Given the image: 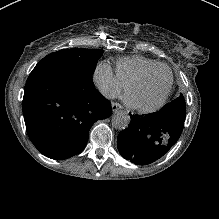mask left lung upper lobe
<instances>
[{"label":"left lung upper lobe","instance_id":"5c2ea615","mask_svg":"<svg viewBox=\"0 0 219 219\" xmlns=\"http://www.w3.org/2000/svg\"><path fill=\"white\" fill-rule=\"evenodd\" d=\"M160 114L171 115L175 118L185 121L186 116V104L183 95L175 99L169 104H166L159 110Z\"/></svg>","mask_w":219,"mask_h":219}]
</instances>
